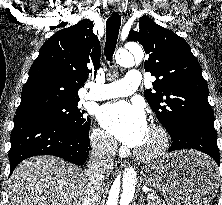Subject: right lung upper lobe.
Here are the masks:
<instances>
[{
    "label": "right lung upper lobe",
    "mask_w": 222,
    "mask_h": 205,
    "mask_svg": "<svg viewBox=\"0 0 222 205\" xmlns=\"http://www.w3.org/2000/svg\"><path fill=\"white\" fill-rule=\"evenodd\" d=\"M100 52L93 22L88 19L57 31L40 48L16 112L48 102L79 101L78 90L84 86L89 73L97 71Z\"/></svg>",
    "instance_id": "1"
}]
</instances>
